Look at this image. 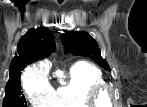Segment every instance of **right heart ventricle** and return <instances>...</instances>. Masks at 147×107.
<instances>
[{"mask_svg": "<svg viewBox=\"0 0 147 107\" xmlns=\"http://www.w3.org/2000/svg\"><path fill=\"white\" fill-rule=\"evenodd\" d=\"M105 84L102 71L86 61H79L70 68L67 82L52 93L51 107H94L90 103L91 91Z\"/></svg>", "mask_w": 147, "mask_h": 107, "instance_id": "1", "label": "right heart ventricle"}]
</instances>
